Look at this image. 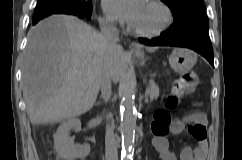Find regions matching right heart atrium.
Instances as JSON below:
<instances>
[{"mask_svg": "<svg viewBox=\"0 0 242 160\" xmlns=\"http://www.w3.org/2000/svg\"><path fill=\"white\" fill-rule=\"evenodd\" d=\"M102 23L106 27H112L113 26V21L109 18H103Z\"/></svg>", "mask_w": 242, "mask_h": 160, "instance_id": "obj_1", "label": "right heart atrium"}]
</instances>
